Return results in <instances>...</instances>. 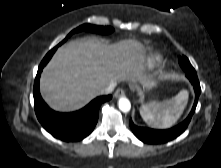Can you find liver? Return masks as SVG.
<instances>
[{
  "instance_id": "liver-1",
  "label": "liver",
  "mask_w": 221,
  "mask_h": 168,
  "mask_svg": "<svg viewBox=\"0 0 221 168\" xmlns=\"http://www.w3.org/2000/svg\"><path fill=\"white\" fill-rule=\"evenodd\" d=\"M145 56L135 40L106 45L96 39L60 47L44 69L40 90L54 110L70 112L85 106L109 84L145 82Z\"/></svg>"
}]
</instances>
